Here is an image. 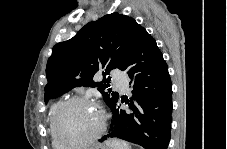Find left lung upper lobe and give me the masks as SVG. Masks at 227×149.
<instances>
[{"mask_svg":"<svg viewBox=\"0 0 227 149\" xmlns=\"http://www.w3.org/2000/svg\"><path fill=\"white\" fill-rule=\"evenodd\" d=\"M138 27L133 18L112 13L86 24L73 38L57 43L46 66L45 101L85 86L98 88L111 107L119 94L108 88L109 72L124 70ZM98 73L103 74L101 82L93 80Z\"/></svg>","mask_w":227,"mask_h":149,"instance_id":"obj_1","label":"left lung upper lobe"}]
</instances>
